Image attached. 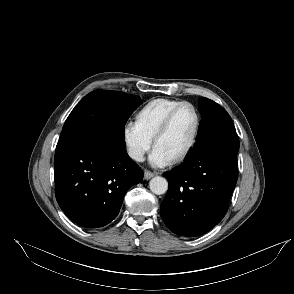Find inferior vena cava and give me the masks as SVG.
Returning a JSON list of instances; mask_svg holds the SVG:
<instances>
[{
    "label": "inferior vena cava",
    "mask_w": 294,
    "mask_h": 294,
    "mask_svg": "<svg viewBox=\"0 0 294 294\" xmlns=\"http://www.w3.org/2000/svg\"><path fill=\"white\" fill-rule=\"evenodd\" d=\"M128 154L132 159L136 161H139V162L144 161V157H143L144 154L141 150L130 148L128 150Z\"/></svg>",
    "instance_id": "602c4592"
}]
</instances>
